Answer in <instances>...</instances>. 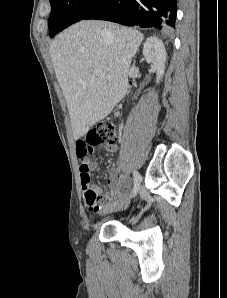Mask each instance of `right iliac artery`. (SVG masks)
<instances>
[{
    "label": "right iliac artery",
    "instance_id": "1",
    "mask_svg": "<svg viewBox=\"0 0 227 298\" xmlns=\"http://www.w3.org/2000/svg\"><path fill=\"white\" fill-rule=\"evenodd\" d=\"M133 176H134V187H133V191H132V196H135L139 190L141 176L137 171L133 172Z\"/></svg>",
    "mask_w": 227,
    "mask_h": 298
}]
</instances>
